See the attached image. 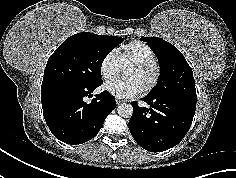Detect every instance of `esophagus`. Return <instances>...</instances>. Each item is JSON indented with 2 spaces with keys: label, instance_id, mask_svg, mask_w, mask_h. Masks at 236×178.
<instances>
[{
  "label": "esophagus",
  "instance_id": "obj_1",
  "mask_svg": "<svg viewBox=\"0 0 236 178\" xmlns=\"http://www.w3.org/2000/svg\"><path fill=\"white\" fill-rule=\"evenodd\" d=\"M122 102H123L122 100L116 99V103H117V104H120V103H122Z\"/></svg>",
  "mask_w": 236,
  "mask_h": 178
}]
</instances>
